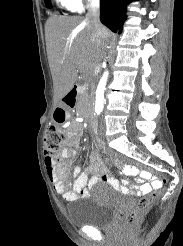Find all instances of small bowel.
I'll use <instances>...</instances> for the list:
<instances>
[{"label": "small bowel", "mask_w": 183, "mask_h": 246, "mask_svg": "<svg viewBox=\"0 0 183 246\" xmlns=\"http://www.w3.org/2000/svg\"><path fill=\"white\" fill-rule=\"evenodd\" d=\"M67 138L72 147H65L61 151L60 160L48 155L45 157V166L49 179L53 183L56 192L61 194L65 200L75 201L80 198L88 197L91 188L98 182H106L123 194H131L137 189H139L141 193L145 194L150 192L152 188L157 187L158 181H155L157 175L153 174L151 178L149 170L141 171L140 167L124 165V173L131 175V177L134 178V183H144V179H146V183L137 188L126 181H119L109 176L104 166L96 160L93 161L89 167V171L95 172L96 175L89 177V171L81 172L80 167L71 166L69 163L65 162V160L75 156V147L80 143V133L69 130L67 132ZM140 171L141 173H136ZM72 177H75L73 181H71Z\"/></svg>", "instance_id": "small-bowel-1"}]
</instances>
